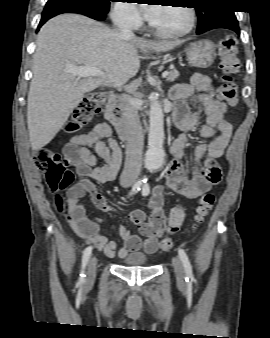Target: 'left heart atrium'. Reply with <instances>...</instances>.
Masks as SVG:
<instances>
[{"label":"left heart atrium","mask_w":270,"mask_h":338,"mask_svg":"<svg viewBox=\"0 0 270 338\" xmlns=\"http://www.w3.org/2000/svg\"><path fill=\"white\" fill-rule=\"evenodd\" d=\"M158 11H159V7H157L156 5L150 6L146 10L145 16L149 21L152 22L156 18Z\"/></svg>","instance_id":"39dd6f15"}]
</instances>
